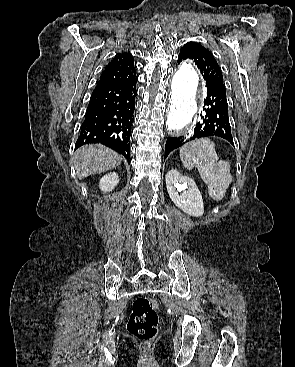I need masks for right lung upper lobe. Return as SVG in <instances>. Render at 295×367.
Segmentation results:
<instances>
[{"mask_svg":"<svg viewBox=\"0 0 295 367\" xmlns=\"http://www.w3.org/2000/svg\"><path fill=\"white\" fill-rule=\"evenodd\" d=\"M135 68L131 54H119L106 66L98 83L120 85L137 81Z\"/></svg>","mask_w":295,"mask_h":367,"instance_id":"right-lung-upper-lobe-1","label":"right lung upper lobe"}]
</instances>
